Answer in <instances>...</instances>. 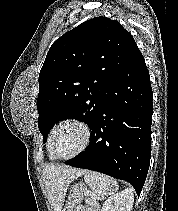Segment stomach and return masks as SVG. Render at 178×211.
Here are the masks:
<instances>
[{"mask_svg":"<svg viewBox=\"0 0 178 211\" xmlns=\"http://www.w3.org/2000/svg\"><path fill=\"white\" fill-rule=\"evenodd\" d=\"M86 191H87V186L84 183L80 182L74 184L70 188V192L68 195V202L66 203V208L63 211H73L75 206L82 202Z\"/></svg>","mask_w":178,"mask_h":211,"instance_id":"1","label":"stomach"}]
</instances>
